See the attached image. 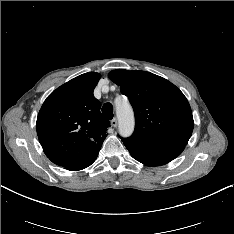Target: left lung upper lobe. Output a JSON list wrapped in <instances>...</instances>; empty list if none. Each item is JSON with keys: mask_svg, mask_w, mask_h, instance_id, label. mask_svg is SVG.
Instances as JSON below:
<instances>
[{"mask_svg": "<svg viewBox=\"0 0 234 234\" xmlns=\"http://www.w3.org/2000/svg\"><path fill=\"white\" fill-rule=\"evenodd\" d=\"M109 78L129 98L135 114L130 142L150 146H185L194 122L184 94L168 80L146 71L117 69Z\"/></svg>", "mask_w": 234, "mask_h": 234, "instance_id": "left-lung-upper-lobe-1", "label": "left lung upper lobe"}]
</instances>
